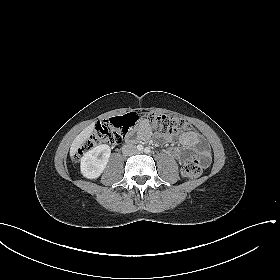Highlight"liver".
<instances>
[{
    "instance_id": "obj_1",
    "label": "liver",
    "mask_w": 280,
    "mask_h": 280,
    "mask_svg": "<svg viewBox=\"0 0 280 280\" xmlns=\"http://www.w3.org/2000/svg\"><path fill=\"white\" fill-rule=\"evenodd\" d=\"M93 130H94V124H90L85 129H83L79 135L76 136L70 148V155L72 157L76 153L77 149L80 148L83 145V143L89 138Z\"/></svg>"
}]
</instances>
